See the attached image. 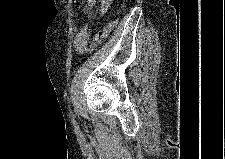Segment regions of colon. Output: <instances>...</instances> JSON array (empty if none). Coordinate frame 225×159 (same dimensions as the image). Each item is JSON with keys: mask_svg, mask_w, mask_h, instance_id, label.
I'll return each instance as SVG.
<instances>
[{"mask_svg": "<svg viewBox=\"0 0 225 159\" xmlns=\"http://www.w3.org/2000/svg\"><path fill=\"white\" fill-rule=\"evenodd\" d=\"M118 19H115L109 22L104 28H102L93 38L89 46L87 47L88 51H92L103 39H105L108 34L114 29L117 25Z\"/></svg>", "mask_w": 225, "mask_h": 159, "instance_id": "colon-1", "label": "colon"}]
</instances>
